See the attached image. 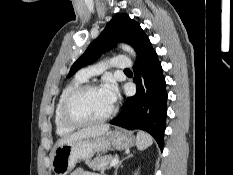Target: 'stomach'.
I'll return each mask as SVG.
<instances>
[{"label":"stomach","mask_w":233,"mask_h":175,"mask_svg":"<svg viewBox=\"0 0 233 175\" xmlns=\"http://www.w3.org/2000/svg\"><path fill=\"white\" fill-rule=\"evenodd\" d=\"M135 137L123 130H114L95 138H84L55 147L51 168L55 175H67L79 160H89L96 152H106L111 147L123 150L134 146Z\"/></svg>","instance_id":"obj_1"}]
</instances>
